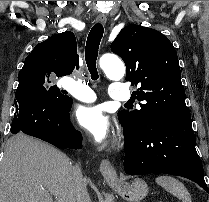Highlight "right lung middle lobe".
<instances>
[{"label":"right lung middle lobe","instance_id":"obj_1","mask_svg":"<svg viewBox=\"0 0 209 202\" xmlns=\"http://www.w3.org/2000/svg\"><path fill=\"white\" fill-rule=\"evenodd\" d=\"M19 84L32 83L37 86L45 95L54 98L61 105H65L68 96L56 85H52L49 76L45 74H25L18 76Z\"/></svg>","mask_w":209,"mask_h":202}]
</instances>
